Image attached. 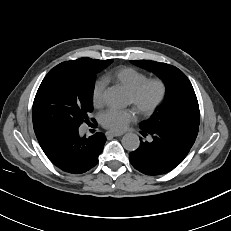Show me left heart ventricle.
Returning a JSON list of instances; mask_svg holds the SVG:
<instances>
[{
    "mask_svg": "<svg viewBox=\"0 0 231 231\" xmlns=\"http://www.w3.org/2000/svg\"><path fill=\"white\" fill-rule=\"evenodd\" d=\"M158 87L157 86H150L149 88L146 89L144 94L142 95L141 102L143 105H149L151 104L156 97L158 96ZM129 102L131 103V97L129 96Z\"/></svg>",
    "mask_w": 231,
    "mask_h": 231,
    "instance_id": "b2bd125f",
    "label": "left heart ventricle"
}]
</instances>
